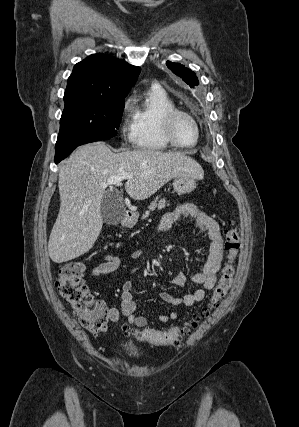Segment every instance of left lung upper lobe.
I'll return each mask as SVG.
<instances>
[{
  "mask_svg": "<svg viewBox=\"0 0 299 427\" xmlns=\"http://www.w3.org/2000/svg\"><path fill=\"white\" fill-rule=\"evenodd\" d=\"M166 65L174 74L182 78V80L185 81L191 88H194L199 84L196 74L190 69L185 68L179 63H172L171 61H167Z\"/></svg>",
  "mask_w": 299,
  "mask_h": 427,
  "instance_id": "obj_1",
  "label": "left lung upper lobe"
}]
</instances>
